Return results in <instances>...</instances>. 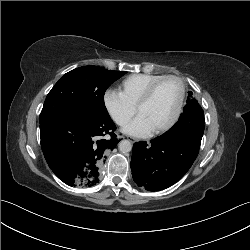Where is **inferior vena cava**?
Masks as SVG:
<instances>
[{
	"label": "inferior vena cava",
	"mask_w": 250,
	"mask_h": 250,
	"mask_svg": "<svg viewBox=\"0 0 250 250\" xmlns=\"http://www.w3.org/2000/svg\"><path fill=\"white\" fill-rule=\"evenodd\" d=\"M126 123V119H120L118 120V124L122 125Z\"/></svg>",
	"instance_id": "602c4592"
}]
</instances>
